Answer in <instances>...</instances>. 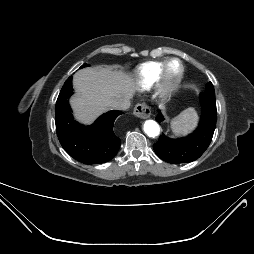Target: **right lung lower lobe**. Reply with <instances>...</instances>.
I'll return each mask as SVG.
<instances>
[{
	"label": "right lung lower lobe",
	"mask_w": 254,
	"mask_h": 254,
	"mask_svg": "<svg viewBox=\"0 0 254 254\" xmlns=\"http://www.w3.org/2000/svg\"><path fill=\"white\" fill-rule=\"evenodd\" d=\"M72 76L63 85L56 102V131L63 149L84 164H100L111 160L120 148V138L113 131L121 111L101 115L91 126L73 119L68 98L72 95Z\"/></svg>",
	"instance_id": "obj_1"
}]
</instances>
